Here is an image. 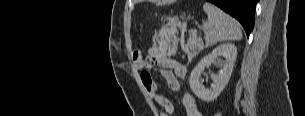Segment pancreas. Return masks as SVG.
Instances as JSON below:
<instances>
[{"label": "pancreas", "instance_id": "1", "mask_svg": "<svg viewBox=\"0 0 305 116\" xmlns=\"http://www.w3.org/2000/svg\"><path fill=\"white\" fill-rule=\"evenodd\" d=\"M182 49L188 58H193L204 49V43L200 37L192 36L188 39L187 44L182 46Z\"/></svg>", "mask_w": 305, "mask_h": 116}]
</instances>
